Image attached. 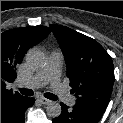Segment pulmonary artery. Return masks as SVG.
Returning a JSON list of instances; mask_svg holds the SVG:
<instances>
[{"instance_id":"obj_1","label":"pulmonary artery","mask_w":123,"mask_h":123,"mask_svg":"<svg viewBox=\"0 0 123 123\" xmlns=\"http://www.w3.org/2000/svg\"><path fill=\"white\" fill-rule=\"evenodd\" d=\"M62 60L63 55L60 51H52L43 69L28 80L20 82L19 85L27 88H38L50 83L52 90L60 100L68 105H73L75 98L69 94L60 81Z\"/></svg>"}]
</instances>
